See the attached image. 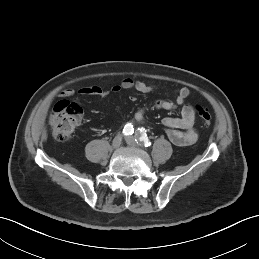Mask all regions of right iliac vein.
I'll list each match as a JSON object with an SVG mask.
<instances>
[{
  "instance_id": "obj_1",
  "label": "right iliac vein",
  "mask_w": 259,
  "mask_h": 259,
  "mask_svg": "<svg viewBox=\"0 0 259 259\" xmlns=\"http://www.w3.org/2000/svg\"><path fill=\"white\" fill-rule=\"evenodd\" d=\"M121 143H122V136L117 135L112 141V148L116 149L120 147Z\"/></svg>"
}]
</instances>
